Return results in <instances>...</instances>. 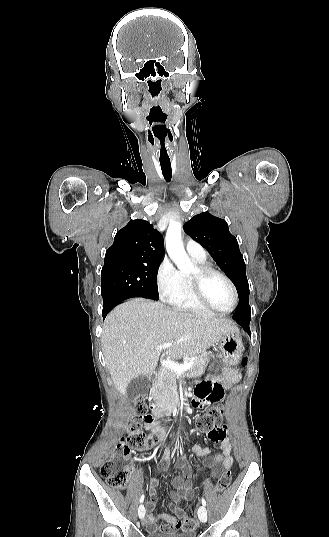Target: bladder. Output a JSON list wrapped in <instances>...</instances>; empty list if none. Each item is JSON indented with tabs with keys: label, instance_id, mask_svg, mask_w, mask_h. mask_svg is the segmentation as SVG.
<instances>
[{
	"label": "bladder",
	"instance_id": "bladder-1",
	"mask_svg": "<svg viewBox=\"0 0 329 537\" xmlns=\"http://www.w3.org/2000/svg\"><path fill=\"white\" fill-rule=\"evenodd\" d=\"M146 537H196L194 532L186 533H164V532H151Z\"/></svg>",
	"mask_w": 329,
	"mask_h": 537
}]
</instances>
